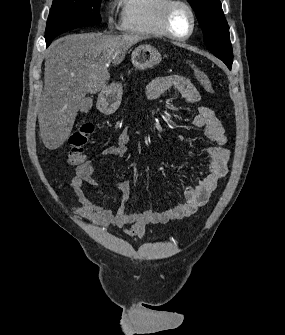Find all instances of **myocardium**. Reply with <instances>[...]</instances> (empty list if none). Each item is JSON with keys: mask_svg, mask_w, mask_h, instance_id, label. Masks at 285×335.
I'll list each match as a JSON object with an SVG mask.
<instances>
[{"mask_svg": "<svg viewBox=\"0 0 285 335\" xmlns=\"http://www.w3.org/2000/svg\"><path fill=\"white\" fill-rule=\"evenodd\" d=\"M179 11L190 19L188 31L184 35L179 33L178 28L180 25L175 23V16ZM163 24L169 36L173 38H186L192 32L194 26V18L190 7L183 1H170L163 12Z\"/></svg>", "mask_w": 285, "mask_h": 335, "instance_id": "f54148a6", "label": "myocardium"}]
</instances>
